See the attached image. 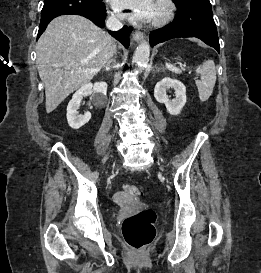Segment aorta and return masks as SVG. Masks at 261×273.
<instances>
[{"mask_svg": "<svg viewBox=\"0 0 261 273\" xmlns=\"http://www.w3.org/2000/svg\"><path fill=\"white\" fill-rule=\"evenodd\" d=\"M150 57V44L148 42L141 43L135 50L133 56V62L135 63L137 70H141L149 62Z\"/></svg>", "mask_w": 261, "mask_h": 273, "instance_id": "1", "label": "aorta"}]
</instances>
